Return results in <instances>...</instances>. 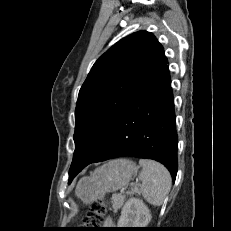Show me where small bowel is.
Segmentation results:
<instances>
[{"label": "small bowel", "mask_w": 231, "mask_h": 231, "mask_svg": "<svg viewBox=\"0 0 231 231\" xmlns=\"http://www.w3.org/2000/svg\"><path fill=\"white\" fill-rule=\"evenodd\" d=\"M114 226V221H113V219L112 218H107L106 220H105V222H104V228H105V230L106 229H109V228H111V227H113Z\"/></svg>", "instance_id": "1"}]
</instances>
